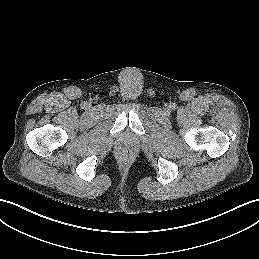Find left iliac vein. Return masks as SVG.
<instances>
[{
  "label": "left iliac vein",
  "mask_w": 259,
  "mask_h": 259,
  "mask_svg": "<svg viewBox=\"0 0 259 259\" xmlns=\"http://www.w3.org/2000/svg\"><path fill=\"white\" fill-rule=\"evenodd\" d=\"M169 108V106H166V109H168Z\"/></svg>",
  "instance_id": "left-iliac-vein-1"
}]
</instances>
